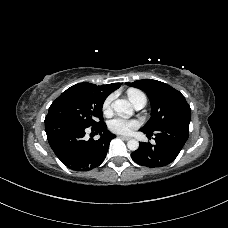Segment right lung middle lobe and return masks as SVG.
Returning <instances> with one entry per match:
<instances>
[{"label":"right lung middle lobe","mask_w":228,"mask_h":228,"mask_svg":"<svg viewBox=\"0 0 228 228\" xmlns=\"http://www.w3.org/2000/svg\"><path fill=\"white\" fill-rule=\"evenodd\" d=\"M106 95L79 83L64 91L50 106L45 118L66 119L84 127H94L103 123L102 106Z\"/></svg>","instance_id":"dd1d6c3e"}]
</instances>
